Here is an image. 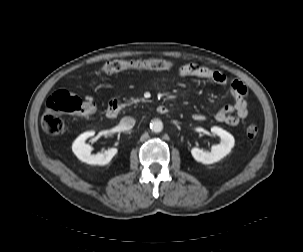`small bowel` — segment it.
Returning a JSON list of instances; mask_svg holds the SVG:
<instances>
[{
    "label": "small bowel",
    "instance_id": "obj_1",
    "mask_svg": "<svg viewBox=\"0 0 303 252\" xmlns=\"http://www.w3.org/2000/svg\"><path fill=\"white\" fill-rule=\"evenodd\" d=\"M178 73L182 77H193L209 80L217 85H226V77L210 68L199 64H185L182 65ZM231 94L235 100L234 107L223 106L214 115V119L220 123H226L231 126H236L240 121L246 117L247 108L245 105V97L247 95L246 89L238 83L230 84ZM196 122H203L206 117L202 113H194L192 116Z\"/></svg>",
    "mask_w": 303,
    "mask_h": 252
}]
</instances>
